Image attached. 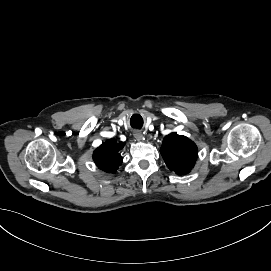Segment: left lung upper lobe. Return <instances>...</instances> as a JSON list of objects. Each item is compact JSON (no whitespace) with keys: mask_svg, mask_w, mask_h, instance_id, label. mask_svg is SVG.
<instances>
[{"mask_svg":"<svg viewBox=\"0 0 271 271\" xmlns=\"http://www.w3.org/2000/svg\"><path fill=\"white\" fill-rule=\"evenodd\" d=\"M160 152L170 170L185 175L194 167L198 149L189 138L171 133L165 136Z\"/></svg>","mask_w":271,"mask_h":271,"instance_id":"obj_1","label":"left lung upper lobe"}]
</instances>
